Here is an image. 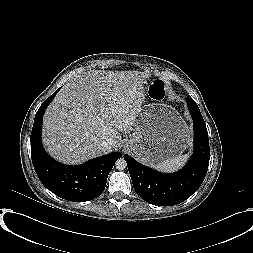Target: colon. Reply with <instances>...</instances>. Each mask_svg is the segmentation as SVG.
<instances>
[{
  "label": "colon",
  "instance_id": "obj_1",
  "mask_svg": "<svg viewBox=\"0 0 253 253\" xmlns=\"http://www.w3.org/2000/svg\"><path fill=\"white\" fill-rule=\"evenodd\" d=\"M149 96L156 101H161L168 94V86L165 81L156 79L151 82L148 90Z\"/></svg>",
  "mask_w": 253,
  "mask_h": 253
}]
</instances>
